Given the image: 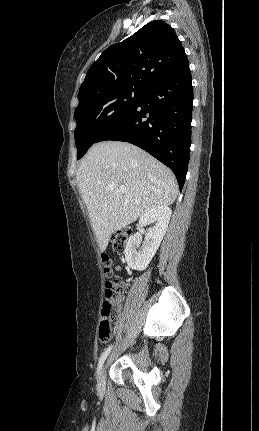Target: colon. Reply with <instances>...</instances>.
<instances>
[{
    "instance_id": "obj_1",
    "label": "colon",
    "mask_w": 259,
    "mask_h": 431,
    "mask_svg": "<svg viewBox=\"0 0 259 431\" xmlns=\"http://www.w3.org/2000/svg\"><path fill=\"white\" fill-rule=\"evenodd\" d=\"M129 236L130 232L126 229L120 230L112 236V248L116 254H124ZM102 262L104 272L109 279L105 285L106 299L101 309L98 334L100 340L107 341L111 338L119 320L118 302L123 293V281L119 276L114 275L118 267L114 265V261L107 254L102 255Z\"/></svg>"
}]
</instances>
